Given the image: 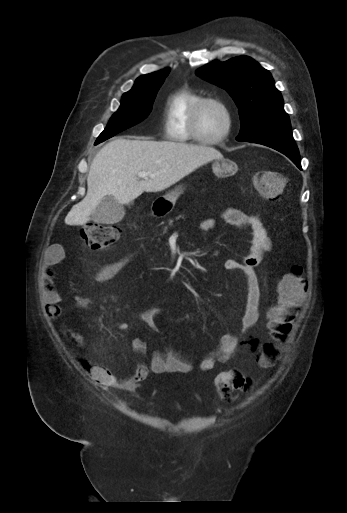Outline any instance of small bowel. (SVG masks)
I'll use <instances>...</instances> for the list:
<instances>
[{"label":"small bowel","instance_id":"c3829d8e","mask_svg":"<svg viewBox=\"0 0 347 513\" xmlns=\"http://www.w3.org/2000/svg\"><path fill=\"white\" fill-rule=\"evenodd\" d=\"M221 218L227 225L241 232H249L251 235L250 246L245 257L242 260H228L224 263L225 270L237 273L244 280L246 287L245 305L238 330L222 335L216 348L208 351L202 358L200 368L203 371H210L218 363L230 361L239 351L248 350L252 345L249 331L259 319L260 292L256 267L262 262L264 255L271 251L270 238L257 215H247L239 209L228 207L221 212ZM215 226L216 221L213 218H206L200 223V229L205 232L212 231ZM60 254V245L56 244L51 247L42 262L37 281L47 313L52 318H58L62 313L60 306L62 298L55 287L52 271V268L60 262ZM132 261L133 255L129 254L117 261L103 265L95 275L96 281L105 282L114 278ZM88 304L87 299L76 301L79 308H86ZM162 312V306H154L142 312L140 319L152 330L159 332L156 319ZM67 333L78 345L84 344V340L79 334L69 330H67ZM132 348L138 356H143L147 352V344L141 338L133 339ZM83 368L93 380L101 385L134 389L139 382L147 377L149 372L155 374L187 373L192 370V364L168 347L163 351L153 353L149 365L137 363L132 375L125 380H117L106 368L97 364L84 362Z\"/></svg>","mask_w":347,"mask_h":513}]
</instances>
